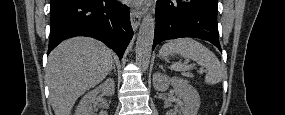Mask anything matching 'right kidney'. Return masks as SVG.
<instances>
[{"label":"right kidney","mask_w":285,"mask_h":115,"mask_svg":"<svg viewBox=\"0 0 285 115\" xmlns=\"http://www.w3.org/2000/svg\"><path fill=\"white\" fill-rule=\"evenodd\" d=\"M114 87L115 83L114 80L109 78L104 83L99 85L94 90H91L87 94L83 96L81 101L79 102L77 108H76V115H93L94 110L96 109V106L94 105V102L96 100L97 95L102 92L106 96H112L114 95ZM99 115H107V112L102 110L100 111Z\"/></svg>","instance_id":"ca27d5eb"}]
</instances>
